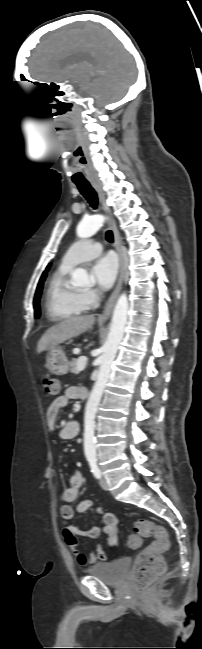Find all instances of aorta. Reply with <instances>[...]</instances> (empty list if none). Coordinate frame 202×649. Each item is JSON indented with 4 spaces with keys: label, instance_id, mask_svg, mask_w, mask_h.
Wrapping results in <instances>:
<instances>
[{
    "label": "aorta",
    "instance_id": "1",
    "mask_svg": "<svg viewBox=\"0 0 202 649\" xmlns=\"http://www.w3.org/2000/svg\"><path fill=\"white\" fill-rule=\"evenodd\" d=\"M103 215H92L83 219L77 226V236L88 238L94 235L104 223ZM88 281L86 270L77 268L72 272V282L82 284ZM129 302L126 293H122L115 305L110 330L99 357L100 367L96 382L88 398L84 414V452L86 455L96 453V438L94 433L95 416L104 388L108 382L111 365L124 335L127 323Z\"/></svg>",
    "mask_w": 202,
    "mask_h": 649
}]
</instances>
